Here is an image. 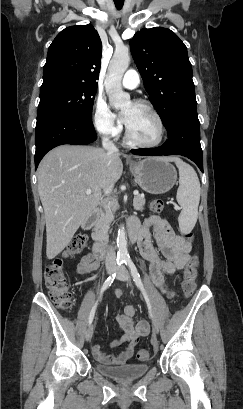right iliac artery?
<instances>
[{"label": "right iliac artery", "mask_w": 243, "mask_h": 409, "mask_svg": "<svg viewBox=\"0 0 243 409\" xmlns=\"http://www.w3.org/2000/svg\"><path fill=\"white\" fill-rule=\"evenodd\" d=\"M123 263H124V260H123V259H118V260H117V267H121ZM115 277H116V273L112 274L111 276H109V277L106 279V281L104 282V284H103V286H102V288H101L100 297H101V295L103 294V292H104L109 286H111V284L113 283ZM96 307H97V302L94 304V306H93L92 309H91V312H90V315H89V321H88L89 325L92 323V321H93V319H94V315H95V312H96Z\"/></svg>", "instance_id": "1"}]
</instances>
